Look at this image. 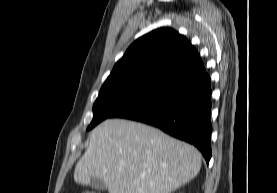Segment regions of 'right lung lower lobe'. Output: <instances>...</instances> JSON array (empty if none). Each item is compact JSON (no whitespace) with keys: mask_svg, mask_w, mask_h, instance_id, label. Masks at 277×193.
Segmentation results:
<instances>
[{"mask_svg":"<svg viewBox=\"0 0 277 193\" xmlns=\"http://www.w3.org/2000/svg\"><path fill=\"white\" fill-rule=\"evenodd\" d=\"M211 81L204 67L151 92L115 118L140 121L196 146L207 164L211 152Z\"/></svg>","mask_w":277,"mask_h":193,"instance_id":"1","label":"right lung lower lobe"}]
</instances>
